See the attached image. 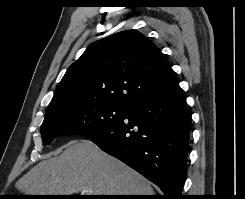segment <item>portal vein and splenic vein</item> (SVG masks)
<instances>
[{
	"mask_svg": "<svg viewBox=\"0 0 245 199\" xmlns=\"http://www.w3.org/2000/svg\"><path fill=\"white\" fill-rule=\"evenodd\" d=\"M86 195H90L91 194V191L90 190H84L83 191Z\"/></svg>",
	"mask_w": 245,
	"mask_h": 199,
	"instance_id": "1",
	"label": "portal vein and splenic vein"
}]
</instances>
